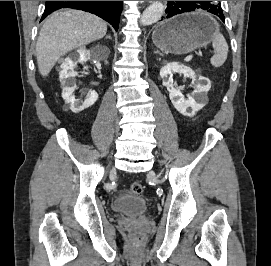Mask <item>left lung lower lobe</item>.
<instances>
[{
	"label": "left lung lower lobe",
	"instance_id": "left-lung-lower-lobe-1",
	"mask_svg": "<svg viewBox=\"0 0 271 266\" xmlns=\"http://www.w3.org/2000/svg\"><path fill=\"white\" fill-rule=\"evenodd\" d=\"M203 9L217 15L224 22V15L219 1H168L165 15L170 18L176 14Z\"/></svg>",
	"mask_w": 271,
	"mask_h": 266
}]
</instances>
